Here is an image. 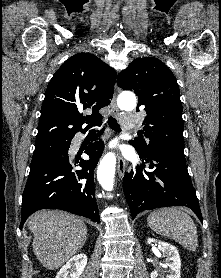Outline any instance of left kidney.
<instances>
[{
  "label": "left kidney",
  "instance_id": "left-kidney-1",
  "mask_svg": "<svg viewBox=\"0 0 221 278\" xmlns=\"http://www.w3.org/2000/svg\"><path fill=\"white\" fill-rule=\"evenodd\" d=\"M157 242L155 239H148L147 243L153 245L152 243ZM158 248L162 251L163 255L167 257L169 267L168 274L166 278H180L181 260L177 248L166 242H159ZM157 271L151 272V278H159Z\"/></svg>",
  "mask_w": 221,
  "mask_h": 278
}]
</instances>
